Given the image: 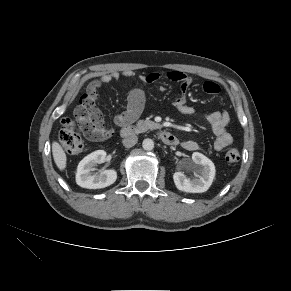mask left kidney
<instances>
[{"instance_id": "left-kidney-1", "label": "left kidney", "mask_w": 291, "mask_h": 291, "mask_svg": "<svg viewBox=\"0 0 291 291\" xmlns=\"http://www.w3.org/2000/svg\"><path fill=\"white\" fill-rule=\"evenodd\" d=\"M194 170L197 178H188L183 172H175L173 175L177 189L189 193H202L208 190L215 177L214 163L199 152L192 154Z\"/></svg>"}]
</instances>
